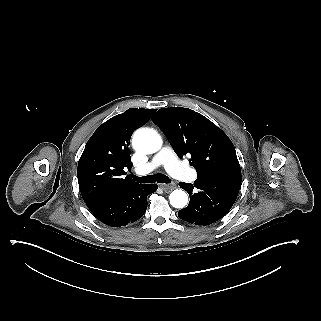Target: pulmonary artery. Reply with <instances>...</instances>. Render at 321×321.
I'll return each mask as SVG.
<instances>
[{"label": "pulmonary artery", "instance_id": "e3ab8cb5", "mask_svg": "<svg viewBox=\"0 0 321 321\" xmlns=\"http://www.w3.org/2000/svg\"><path fill=\"white\" fill-rule=\"evenodd\" d=\"M166 164L169 167L172 178L176 180H183L190 182L194 180L196 173L191 166H181L177 161V158L173 156L171 150L168 147L159 148L151 161L144 163L143 168L145 171L150 172L157 169L158 166Z\"/></svg>", "mask_w": 321, "mask_h": 321}]
</instances>
